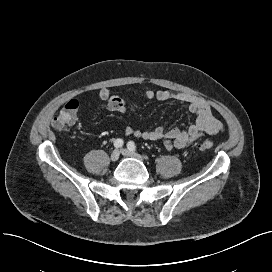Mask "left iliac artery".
Here are the masks:
<instances>
[{"mask_svg":"<svg viewBox=\"0 0 272 272\" xmlns=\"http://www.w3.org/2000/svg\"><path fill=\"white\" fill-rule=\"evenodd\" d=\"M127 147L131 151H135L136 150V145H135V143L133 141H129L128 144H127Z\"/></svg>","mask_w":272,"mask_h":272,"instance_id":"44dca946","label":"left iliac artery"}]
</instances>
